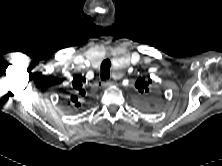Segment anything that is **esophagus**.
<instances>
[{
    "label": "esophagus",
    "instance_id": "1",
    "mask_svg": "<svg viewBox=\"0 0 222 166\" xmlns=\"http://www.w3.org/2000/svg\"><path fill=\"white\" fill-rule=\"evenodd\" d=\"M111 84H112V82H105V81H104V82H102L101 85H102L103 88H107V87H109Z\"/></svg>",
    "mask_w": 222,
    "mask_h": 166
}]
</instances>
